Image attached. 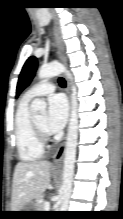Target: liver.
Here are the masks:
<instances>
[{
    "label": "liver",
    "instance_id": "6515ba94",
    "mask_svg": "<svg viewBox=\"0 0 123 219\" xmlns=\"http://www.w3.org/2000/svg\"><path fill=\"white\" fill-rule=\"evenodd\" d=\"M50 168L48 161L17 163L13 175L11 211H20L43 194L50 184Z\"/></svg>",
    "mask_w": 123,
    "mask_h": 219
}]
</instances>
